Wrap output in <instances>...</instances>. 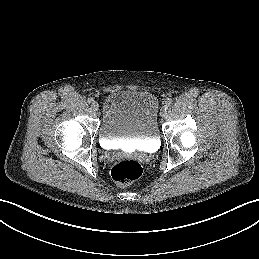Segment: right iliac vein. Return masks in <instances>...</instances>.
<instances>
[{"instance_id": "1", "label": "right iliac vein", "mask_w": 259, "mask_h": 259, "mask_svg": "<svg viewBox=\"0 0 259 259\" xmlns=\"http://www.w3.org/2000/svg\"><path fill=\"white\" fill-rule=\"evenodd\" d=\"M91 106H92V109H93L94 111H98V109H99V104H98L97 102H93Z\"/></svg>"}]
</instances>
